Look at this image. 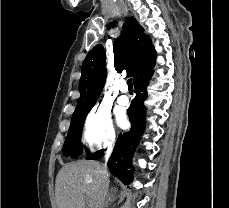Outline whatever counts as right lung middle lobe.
<instances>
[{
    "instance_id": "obj_1",
    "label": "right lung middle lobe",
    "mask_w": 229,
    "mask_h": 208,
    "mask_svg": "<svg viewBox=\"0 0 229 208\" xmlns=\"http://www.w3.org/2000/svg\"><path fill=\"white\" fill-rule=\"evenodd\" d=\"M85 118L86 117L71 121L68 135L64 143V155L76 157L81 153V134Z\"/></svg>"
}]
</instances>
